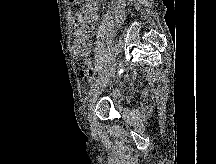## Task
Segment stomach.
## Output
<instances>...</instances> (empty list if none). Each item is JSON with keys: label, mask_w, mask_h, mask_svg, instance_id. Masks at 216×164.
<instances>
[{"label": "stomach", "mask_w": 216, "mask_h": 164, "mask_svg": "<svg viewBox=\"0 0 216 164\" xmlns=\"http://www.w3.org/2000/svg\"><path fill=\"white\" fill-rule=\"evenodd\" d=\"M71 2V4H78V3H80L82 0H70Z\"/></svg>", "instance_id": "obj_1"}]
</instances>
